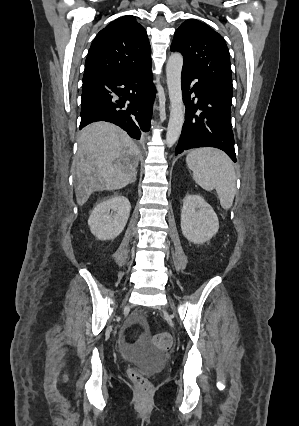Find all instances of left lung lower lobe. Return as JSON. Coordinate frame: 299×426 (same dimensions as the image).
I'll use <instances>...</instances> for the list:
<instances>
[{"label": "left lung lower lobe", "instance_id": "left-lung-lower-lobe-1", "mask_svg": "<svg viewBox=\"0 0 299 426\" xmlns=\"http://www.w3.org/2000/svg\"><path fill=\"white\" fill-rule=\"evenodd\" d=\"M197 82L190 89L191 82ZM183 100L186 105L185 123L175 155L198 147H216L225 151L236 162L234 136L231 128L232 98L226 96L195 72L182 68ZM191 93L195 98L190 99ZM201 111L200 114H195Z\"/></svg>", "mask_w": 299, "mask_h": 426}]
</instances>
